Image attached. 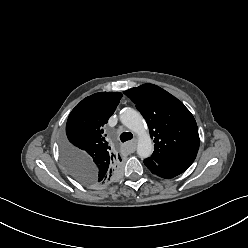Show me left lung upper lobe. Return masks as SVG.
<instances>
[{"mask_svg":"<svg viewBox=\"0 0 248 248\" xmlns=\"http://www.w3.org/2000/svg\"><path fill=\"white\" fill-rule=\"evenodd\" d=\"M145 118L154 152L149 158L159 165L192 163L199 149L196 121L173 95L154 84L124 91Z\"/></svg>","mask_w":248,"mask_h":248,"instance_id":"left-lung-upper-lobe-1","label":"left lung upper lobe"}]
</instances>
